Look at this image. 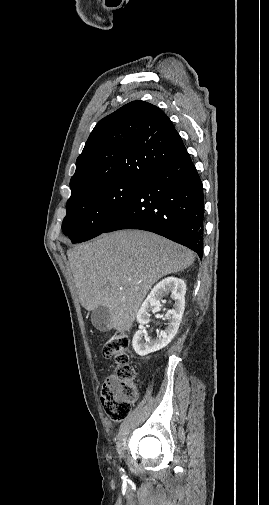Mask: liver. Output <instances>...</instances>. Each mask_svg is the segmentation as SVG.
Returning a JSON list of instances; mask_svg holds the SVG:
<instances>
[{"label": "liver", "instance_id": "obj_1", "mask_svg": "<svg viewBox=\"0 0 269 505\" xmlns=\"http://www.w3.org/2000/svg\"><path fill=\"white\" fill-rule=\"evenodd\" d=\"M81 305L106 307L111 327L128 331L152 285L186 269L194 254L154 233L121 230L102 234L67 253Z\"/></svg>", "mask_w": 269, "mask_h": 505}]
</instances>
